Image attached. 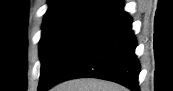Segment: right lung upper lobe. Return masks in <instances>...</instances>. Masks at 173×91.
I'll return each mask as SVG.
<instances>
[{"mask_svg": "<svg viewBox=\"0 0 173 91\" xmlns=\"http://www.w3.org/2000/svg\"><path fill=\"white\" fill-rule=\"evenodd\" d=\"M104 0H49V8L43 25L66 21L87 22L99 12L107 9ZM121 0H112L114 4Z\"/></svg>", "mask_w": 173, "mask_h": 91, "instance_id": "right-lung-upper-lobe-1", "label": "right lung upper lobe"}]
</instances>
